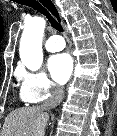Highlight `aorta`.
I'll return each mask as SVG.
<instances>
[{
	"instance_id": "obj_1",
	"label": "aorta",
	"mask_w": 117,
	"mask_h": 136,
	"mask_svg": "<svg viewBox=\"0 0 117 136\" xmlns=\"http://www.w3.org/2000/svg\"><path fill=\"white\" fill-rule=\"evenodd\" d=\"M46 21L43 17H34L25 22L20 41V58L30 70L40 69L43 62L42 39Z\"/></svg>"
}]
</instances>
